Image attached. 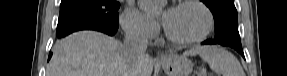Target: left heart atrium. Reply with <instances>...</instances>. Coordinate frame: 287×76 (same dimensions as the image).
Masks as SVG:
<instances>
[{"label":"left heart atrium","instance_id":"left-heart-atrium-1","mask_svg":"<svg viewBox=\"0 0 287 76\" xmlns=\"http://www.w3.org/2000/svg\"><path fill=\"white\" fill-rule=\"evenodd\" d=\"M173 8H168L165 10L164 14H163V20L164 22L167 20V18L169 17V15L172 13Z\"/></svg>","mask_w":287,"mask_h":76}]
</instances>
